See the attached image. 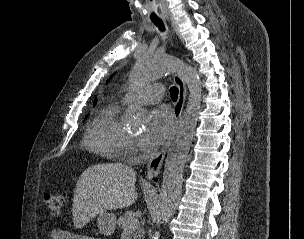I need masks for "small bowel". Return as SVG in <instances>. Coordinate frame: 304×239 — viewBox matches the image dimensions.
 Segmentation results:
<instances>
[{
  "instance_id": "c3829d8e",
  "label": "small bowel",
  "mask_w": 304,
  "mask_h": 239,
  "mask_svg": "<svg viewBox=\"0 0 304 239\" xmlns=\"http://www.w3.org/2000/svg\"><path fill=\"white\" fill-rule=\"evenodd\" d=\"M74 238V234L61 229V228H55L51 232V239H72Z\"/></svg>"
}]
</instances>
